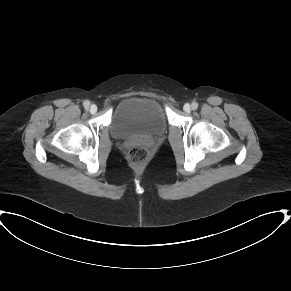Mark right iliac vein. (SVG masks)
I'll use <instances>...</instances> for the list:
<instances>
[{
	"mask_svg": "<svg viewBox=\"0 0 291 291\" xmlns=\"http://www.w3.org/2000/svg\"><path fill=\"white\" fill-rule=\"evenodd\" d=\"M97 112V106L96 105H91L90 106V113L91 114H95Z\"/></svg>",
	"mask_w": 291,
	"mask_h": 291,
	"instance_id": "1",
	"label": "right iliac vein"
}]
</instances>
